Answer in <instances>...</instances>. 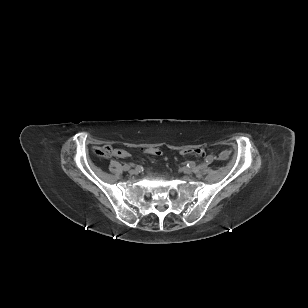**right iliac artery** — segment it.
Here are the masks:
<instances>
[{"mask_svg": "<svg viewBox=\"0 0 308 308\" xmlns=\"http://www.w3.org/2000/svg\"><path fill=\"white\" fill-rule=\"evenodd\" d=\"M130 167H131V164L130 165L129 164H124L122 168H123V170L127 171V170L130 169Z\"/></svg>", "mask_w": 308, "mask_h": 308, "instance_id": "82829eb1", "label": "right iliac artery"}]
</instances>
